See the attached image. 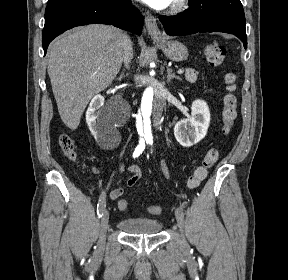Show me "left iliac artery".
Wrapping results in <instances>:
<instances>
[{
  "label": "left iliac artery",
  "mask_w": 288,
  "mask_h": 280,
  "mask_svg": "<svg viewBox=\"0 0 288 280\" xmlns=\"http://www.w3.org/2000/svg\"><path fill=\"white\" fill-rule=\"evenodd\" d=\"M150 143V145H152V142L150 141L149 142ZM179 212L182 214V213H184L185 212V209H184V202L183 201H180L179 202Z\"/></svg>",
  "instance_id": "1"
}]
</instances>
